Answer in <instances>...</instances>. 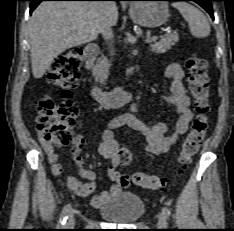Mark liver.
Returning a JSON list of instances; mask_svg holds the SVG:
<instances>
[{"mask_svg": "<svg viewBox=\"0 0 234 231\" xmlns=\"http://www.w3.org/2000/svg\"><path fill=\"white\" fill-rule=\"evenodd\" d=\"M105 17L116 25L114 2L47 1L33 12L29 21L32 73L41 78L64 51L89 43L101 33L99 20Z\"/></svg>", "mask_w": 234, "mask_h": 231, "instance_id": "1", "label": "liver"}]
</instances>
